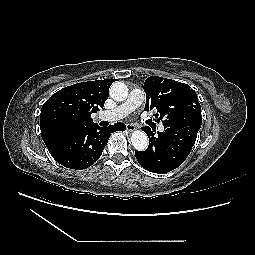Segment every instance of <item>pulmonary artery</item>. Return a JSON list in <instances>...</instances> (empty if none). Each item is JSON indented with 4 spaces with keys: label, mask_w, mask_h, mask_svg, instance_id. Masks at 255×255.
Masks as SVG:
<instances>
[{
    "label": "pulmonary artery",
    "mask_w": 255,
    "mask_h": 255,
    "mask_svg": "<svg viewBox=\"0 0 255 255\" xmlns=\"http://www.w3.org/2000/svg\"><path fill=\"white\" fill-rule=\"evenodd\" d=\"M144 99V92L139 88H134L131 90L127 100L123 104L115 109L103 112L102 118L107 121L119 120L138 108L143 103ZM158 128L160 131L164 130L162 124H160Z\"/></svg>",
    "instance_id": "obj_1"
}]
</instances>
